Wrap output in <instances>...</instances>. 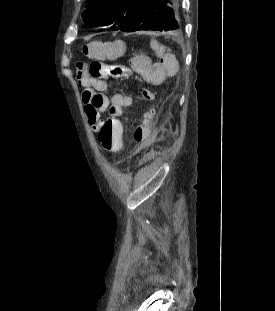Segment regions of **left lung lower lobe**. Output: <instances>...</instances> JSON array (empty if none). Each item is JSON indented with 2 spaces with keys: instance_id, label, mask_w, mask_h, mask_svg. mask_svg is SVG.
Wrapping results in <instances>:
<instances>
[{
  "instance_id": "0a47b994",
  "label": "left lung lower lobe",
  "mask_w": 275,
  "mask_h": 311,
  "mask_svg": "<svg viewBox=\"0 0 275 311\" xmlns=\"http://www.w3.org/2000/svg\"><path fill=\"white\" fill-rule=\"evenodd\" d=\"M179 28L171 0H144L120 30L173 32Z\"/></svg>"
}]
</instances>
